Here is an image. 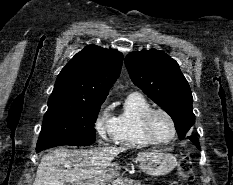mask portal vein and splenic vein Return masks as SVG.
<instances>
[{"mask_svg":"<svg viewBox=\"0 0 233 185\" xmlns=\"http://www.w3.org/2000/svg\"><path fill=\"white\" fill-rule=\"evenodd\" d=\"M64 167L68 168V167H69V165H64Z\"/></svg>","mask_w":233,"mask_h":185,"instance_id":"1","label":"portal vein and splenic vein"}]
</instances>
